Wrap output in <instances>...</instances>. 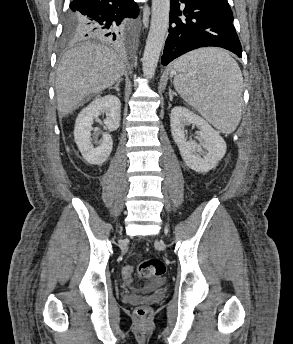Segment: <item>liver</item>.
Returning <instances> with one entry per match:
<instances>
[{"label":"liver","instance_id":"6515ba94","mask_svg":"<svg viewBox=\"0 0 293 344\" xmlns=\"http://www.w3.org/2000/svg\"><path fill=\"white\" fill-rule=\"evenodd\" d=\"M125 62L108 47L86 43L69 50L56 72L57 109L61 117L72 113L91 94H98L121 81Z\"/></svg>","mask_w":293,"mask_h":344}]
</instances>
